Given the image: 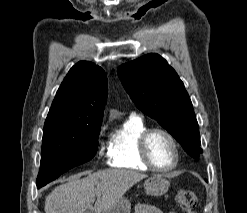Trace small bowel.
Returning a JSON list of instances; mask_svg holds the SVG:
<instances>
[{"mask_svg":"<svg viewBox=\"0 0 247 213\" xmlns=\"http://www.w3.org/2000/svg\"><path fill=\"white\" fill-rule=\"evenodd\" d=\"M135 213H163V212L156 206L146 203H138L135 208ZM169 213H176V212L170 211Z\"/></svg>","mask_w":247,"mask_h":213,"instance_id":"small-bowel-1","label":"small bowel"}]
</instances>
